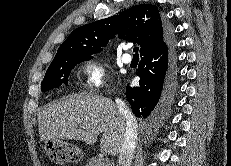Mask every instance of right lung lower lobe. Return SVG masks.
I'll use <instances>...</instances> for the list:
<instances>
[{
    "label": "right lung lower lobe",
    "mask_w": 231,
    "mask_h": 166,
    "mask_svg": "<svg viewBox=\"0 0 231 166\" xmlns=\"http://www.w3.org/2000/svg\"><path fill=\"white\" fill-rule=\"evenodd\" d=\"M166 42L143 55L137 70L139 87H126V98L137 117L159 119L172 104L175 91L174 39L167 24Z\"/></svg>",
    "instance_id": "1"
}]
</instances>
